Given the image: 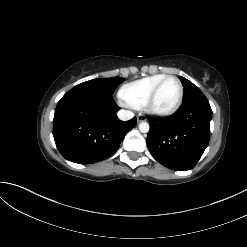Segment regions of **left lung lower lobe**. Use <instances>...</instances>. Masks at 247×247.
Returning a JSON list of instances; mask_svg holds the SVG:
<instances>
[{
    "instance_id": "obj_1",
    "label": "left lung lower lobe",
    "mask_w": 247,
    "mask_h": 247,
    "mask_svg": "<svg viewBox=\"0 0 247 247\" xmlns=\"http://www.w3.org/2000/svg\"><path fill=\"white\" fill-rule=\"evenodd\" d=\"M212 110L204 95L183 102L165 119H149L147 146L152 156L172 170H190L210 139Z\"/></svg>"
}]
</instances>
